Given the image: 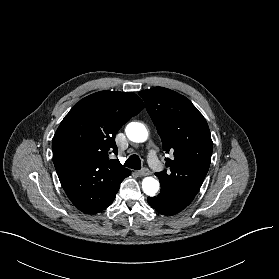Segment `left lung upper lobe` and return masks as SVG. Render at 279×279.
I'll return each mask as SVG.
<instances>
[{
	"instance_id": "left-lung-upper-lobe-1",
	"label": "left lung upper lobe",
	"mask_w": 279,
	"mask_h": 279,
	"mask_svg": "<svg viewBox=\"0 0 279 279\" xmlns=\"http://www.w3.org/2000/svg\"><path fill=\"white\" fill-rule=\"evenodd\" d=\"M146 104L166 158L170 172L156 173L161 187L178 194L195 197L210 166L213 143L208 124L186 97L163 87L139 93Z\"/></svg>"
}]
</instances>
